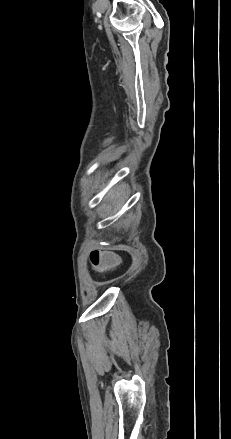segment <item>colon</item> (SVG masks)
Returning <instances> with one entry per match:
<instances>
[{
    "mask_svg": "<svg viewBox=\"0 0 231 439\" xmlns=\"http://www.w3.org/2000/svg\"><path fill=\"white\" fill-rule=\"evenodd\" d=\"M90 259L94 268L99 271L110 270L118 264V260L113 255L102 251L92 252Z\"/></svg>",
    "mask_w": 231,
    "mask_h": 439,
    "instance_id": "obj_1",
    "label": "colon"
}]
</instances>
